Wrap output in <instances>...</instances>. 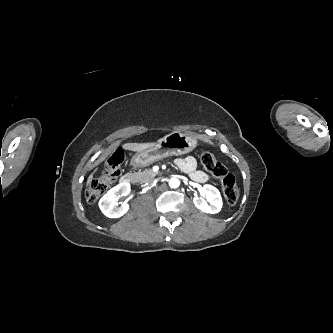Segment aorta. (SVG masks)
Segmentation results:
<instances>
[{"instance_id": "762f6f07", "label": "aorta", "mask_w": 333, "mask_h": 333, "mask_svg": "<svg viewBox=\"0 0 333 333\" xmlns=\"http://www.w3.org/2000/svg\"><path fill=\"white\" fill-rule=\"evenodd\" d=\"M168 184H169V186L171 187V188H178L179 187V185H180V181H179V179H177V178H175V177H173V178H171L169 181H168Z\"/></svg>"}]
</instances>
